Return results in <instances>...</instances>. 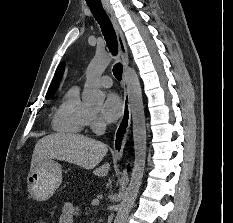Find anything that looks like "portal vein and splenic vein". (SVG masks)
I'll return each instance as SVG.
<instances>
[{"mask_svg": "<svg viewBox=\"0 0 233 223\" xmlns=\"http://www.w3.org/2000/svg\"><path fill=\"white\" fill-rule=\"evenodd\" d=\"M92 205H93V206H98V205H99V202H98V201H92Z\"/></svg>", "mask_w": 233, "mask_h": 223, "instance_id": "1", "label": "portal vein and splenic vein"}]
</instances>
